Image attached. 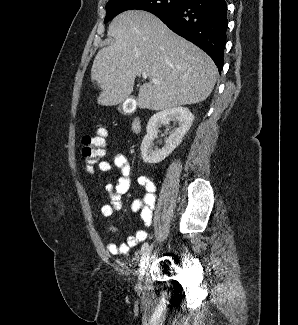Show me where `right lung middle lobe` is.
Listing matches in <instances>:
<instances>
[{"label": "right lung middle lobe", "instance_id": "right-lung-middle-lobe-1", "mask_svg": "<svg viewBox=\"0 0 298 325\" xmlns=\"http://www.w3.org/2000/svg\"><path fill=\"white\" fill-rule=\"evenodd\" d=\"M188 0H114L106 5V17L104 23L113 19L119 13L140 9L157 14L165 10H173L183 6Z\"/></svg>", "mask_w": 298, "mask_h": 325}]
</instances>
